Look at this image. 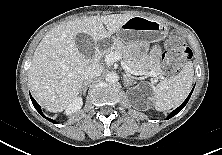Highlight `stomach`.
I'll return each mask as SVG.
<instances>
[{"label":"stomach","mask_w":222,"mask_h":155,"mask_svg":"<svg viewBox=\"0 0 222 155\" xmlns=\"http://www.w3.org/2000/svg\"><path fill=\"white\" fill-rule=\"evenodd\" d=\"M168 34V27L154 19L142 16H133L117 32L115 42H120L127 46L154 43L163 40ZM142 54L136 53L140 58ZM146 68L139 67L136 71H144Z\"/></svg>","instance_id":"obj_1"}]
</instances>
